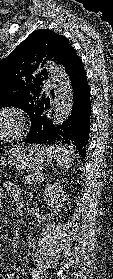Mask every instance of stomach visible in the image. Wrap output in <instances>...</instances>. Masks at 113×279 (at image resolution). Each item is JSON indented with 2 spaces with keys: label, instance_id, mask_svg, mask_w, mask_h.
Returning <instances> with one entry per match:
<instances>
[{
  "label": "stomach",
  "instance_id": "1",
  "mask_svg": "<svg viewBox=\"0 0 113 279\" xmlns=\"http://www.w3.org/2000/svg\"><path fill=\"white\" fill-rule=\"evenodd\" d=\"M53 155L37 144L16 145L0 156L1 165H9L18 170L36 171L50 164Z\"/></svg>",
  "mask_w": 113,
  "mask_h": 279
}]
</instances>
